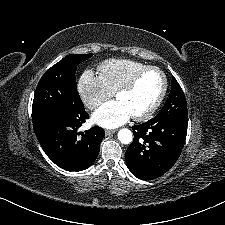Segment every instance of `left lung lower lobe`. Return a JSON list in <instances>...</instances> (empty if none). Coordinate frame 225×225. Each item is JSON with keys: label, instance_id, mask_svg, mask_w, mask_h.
I'll use <instances>...</instances> for the list:
<instances>
[{"label": "left lung lower lobe", "instance_id": "0a47b994", "mask_svg": "<svg viewBox=\"0 0 225 225\" xmlns=\"http://www.w3.org/2000/svg\"><path fill=\"white\" fill-rule=\"evenodd\" d=\"M134 140L126 151V165L139 179L165 174L179 158L187 135V122L167 121L132 127Z\"/></svg>", "mask_w": 225, "mask_h": 225}]
</instances>
